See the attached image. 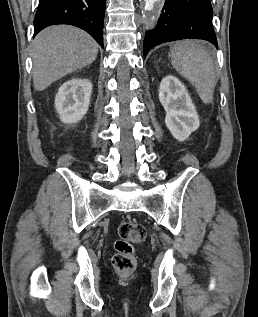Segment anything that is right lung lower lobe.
<instances>
[{"mask_svg": "<svg viewBox=\"0 0 258 317\" xmlns=\"http://www.w3.org/2000/svg\"><path fill=\"white\" fill-rule=\"evenodd\" d=\"M106 0H39L34 36L55 24H70L88 32L103 48Z\"/></svg>", "mask_w": 258, "mask_h": 317, "instance_id": "1", "label": "right lung lower lobe"}]
</instances>
